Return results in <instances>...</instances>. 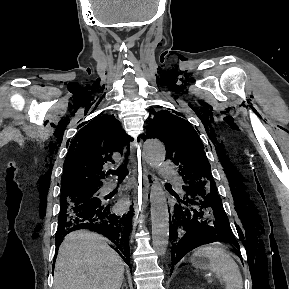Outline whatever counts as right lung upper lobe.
Here are the masks:
<instances>
[{
  "label": "right lung upper lobe",
  "instance_id": "1",
  "mask_svg": "<svg viewBox=\"0 0 289 289\" xmlns=\"http://www.w3.org/2000/svg\"><path fill=\"white\" fill-rule=\"evenodd\" d=\"M125 138L119 121L112 115L100 114L85 125L69 146L61 179V196L99 190L105 177L103 166L114 162L111 158L114 152H122Z\"/></svg>",
  "mask_w": 289,
  "mask_h": 289
}]
</instances>
